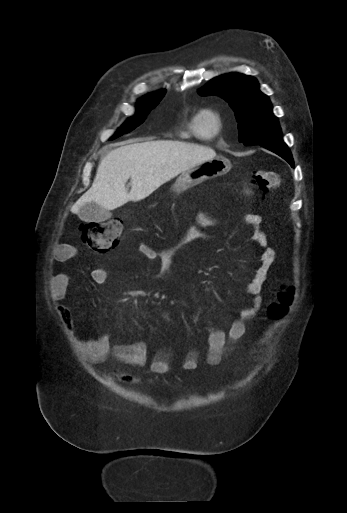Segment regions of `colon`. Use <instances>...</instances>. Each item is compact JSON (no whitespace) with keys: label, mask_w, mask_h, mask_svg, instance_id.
I'll list each match as a JSON object with an SVG mask.
<instances>
[{"label":"colon","mask_w":347,"mask_h":513,"mask_svg":"<svg viewBox=\"0 0 347 513\" xmlns=\"http://www.w3.org/2000/svg\"><path fill=\"white\" fill-rule=\"evenodd\" d=\"M279 185V174L270 170H258L247 181V190H255L266 196ZM123 224L120 219L103 222L84 223L80 226L81 239L98 254H106L114 250L120 243ZM295 296V288L283 287L278 292V300L271 304L270 314L274 317L284 316Z\"/></svg>","instance_id":"obj_1"}]
</instances>
